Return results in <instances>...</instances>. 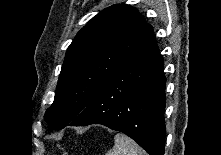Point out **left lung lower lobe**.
<instances>
[{
  "instance_id": "0a47b994",
  "label": "left lung lower lobe",
  "mask_w": 221,
  "mask_h": 155,
  "mask_svg": "<svg viewBox=\"0 0 221 155\" xmlns=\"http://www.w3.org/2000/svg\"><path fill=\"white\" fill-rule=\"evenodd\" d=\"M165 82L163 59L152 34L68 125H105L130 136L150 155H164Z\"/></svg>"
}]
</instances>
